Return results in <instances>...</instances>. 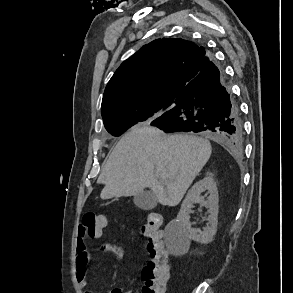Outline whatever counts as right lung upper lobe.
<instances>
[{"instance_id": "right-lung-upper-lobe-1", "label": "right lung upper lobe", "mask_w": 293, "mask_h": 293, "mask_svg": "<svg viewBox=\"0 0 293 293\" xmlns=\"http://www.w3.org/2000/svg\"><path fill=\"white\" fill-rule=\"evenodd\" d=\"M211 59L203 47L180 38L144 45L108 82L102 100L103 119L156 108L176 98Z\"/></svg>"}]
</instances>
